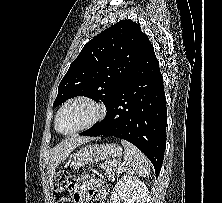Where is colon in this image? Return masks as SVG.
<instances>
[{
	"label": "colon",
	"instance_id": "obj_1",
	"mask_svg": "<svg viewBox=\"0 0 222 203\" xmlns=\"http://www.w3.org/2000/svg\"><path fill=\"white\" fill-rule=\"evenodd\" d=\"M74 184L67 173L59 172L53 182V196L55 203H72Z\"/></svg>",
	"mask_w": 222,
	"mask_h": 203
}]
</instances>
